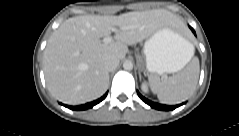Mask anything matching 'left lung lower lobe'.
<instances>
[{
  "label": "left lung lower lobe",
  "instance_id": "obj_1",
  "mask_svg": "<svg viewBox=\"0 0 239 136\" xmlns=\"http://www.w3.org/2000/svg\"><path fill=\"white\" fill-rule=\"evenodd\" d=\"M190 29L195 34V31L193 30V28L190 27ZM137 93H138V96L141 98V100H143L146 104H148L152 108H155V109H158V110H163V111L174 110L175 108L182 105V104H178V105H175V106H168V105L158 104V103H155V102H152V101L146 99L138 91H137Z\"/></svg>",
  "mask_w": 239,
  "mask_h": 136
}]
</instances>
